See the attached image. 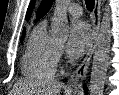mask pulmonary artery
I'll list each match as a JSON object with an SVG mask.
<instances>
[{
    "label": "pulmonary artery",
    "instance_id": "1",
    "mask_svg": "<svg viewBox=\"0 0 119 95\" xmlns=\"http://www.w3.org/2000/svg\"><path fill=\"white\" fill-rule=\"evenodd\" d=\"M67 12L74 17H79L82 14V8L80 5L73 3L67 7Z\"/></svg>",
    "mask_w": 119,
    "mask_h": 95
}]
</instances>
